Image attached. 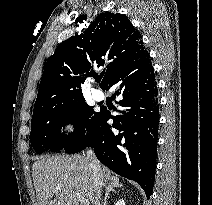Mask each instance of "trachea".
I'll use <instances>...</instances> for the list:
<instances>
[{
    "label": "trachea",
    "mask_w": 212,
    "mask_h": 205,
    "mask_svg": "<svg viewBox=\"0 0 212 205\" xmlns=\"http://www.w3.org/2000/svg\"><path fill=\"white\" fill-rule=\"evenodd\" d=\"M100 81H101V77H97L96 82H100Z\"/></svg>",
    "instance_id": "trachea-1"
}]
</instances>
